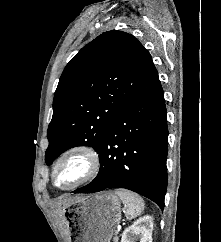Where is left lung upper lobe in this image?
I'll list each match as a JSON object with an SVG mask.
<instances>
[{"instance_id": "5c2ea615", "label": "left lung upper lobe", "mask_w": 221, "mask_h": 242, "mask_svg": "<svg viewBox=\"0 0 221 242\" xmlns=\"http://www.w3.org/2000/svg\"><path fill=\"white\" fill-rule=\"evenodd\" d=\"M156 76L149 52L131 34L108 31L84 46L55 91L46 164L75 146L98 152L113 120Z\"/></svg>"}]
</instances>
